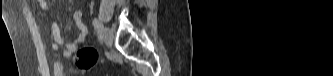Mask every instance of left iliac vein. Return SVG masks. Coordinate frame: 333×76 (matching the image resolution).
<instances>
[{
    "label": "left iliac vein",
    "mask_w": 333,
    "mask_h": 76,
    "mask_svg": "<svg viewBox=\"0 0 333 76\" xmlns=\"http://www.w3.org/2000/svg\"><path fill=\"white\" fill-rule=\"evenodd\" d=\"M113 37H114L113 31L108 27H104L103 28V38L108 47H110L112 45Z\"/></svg>",
    "instance_id": "obj_1"
}]
</instances>
